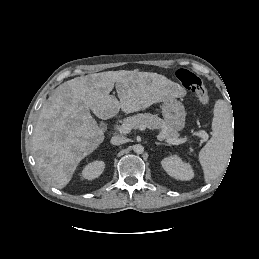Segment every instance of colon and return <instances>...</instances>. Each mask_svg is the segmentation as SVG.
Returning a JSON list of instances; mask_svg holds the SVG:
<instances>
[{
  "label": "colon",
  "mask_w": 259,
  "mask_h": 259,
  "mask_svg": "<svg viewBox=\"0 0 259 259\" xmlns=\"http://www.w3.org/2000/svg\"><path fill=\"white\" fill-rule=\"evenodd\" d=\"M176 76L182 85L192 91L202 105L209 103V93L202 79L192 71L181 68L177 70Z\"/></svg>",
  "instance_id": "colon-1"
}]
</instances>
